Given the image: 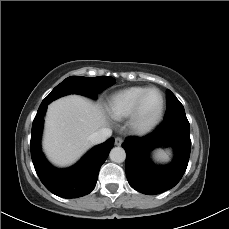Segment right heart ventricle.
Returning a JSON list of instances; mask_svg holds the SVG:
<instances>
[{
    "label": "right heart ventricle",
    "mask_w": 229,
    "mask_h": 229,
    "mask_svg": "<svg viewBox=\"0 0 229 229\" xmlns=\"http://www.w3.org/2000/svg\"><path fill=\"white\" fill-rule=\"evenodd\" d=\"M147 89L144 86H132L111 94L105 103L107 113L116 120L127 118L139 96Z\"/></svg>",
    "instance_id": "e07e8e85"
}]
</instances>
